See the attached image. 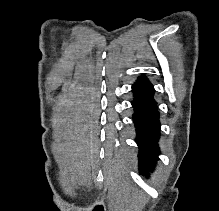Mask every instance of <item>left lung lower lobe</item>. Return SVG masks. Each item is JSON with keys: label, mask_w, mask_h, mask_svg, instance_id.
<instances>
[{"label": "left lung lower lobe", "mask_w": 219, "mask_h": 211, "mask_svg": "<svg viewBox=\"0 0 219 211\" xmlns=\"http://www.w3.org/2000/svg\"><path fill=\"white\" fill-rule=\"evenodd\" d=\"M134 100L133 120L136 127V142L140 148V173L147 175L154 169L159 154L158 139L160 135L159 112L157 102L153 99L155 90L145 76L138 78L132 86Z\"/></svg>", "instance_id": "0a47b994"}]
</instances>
